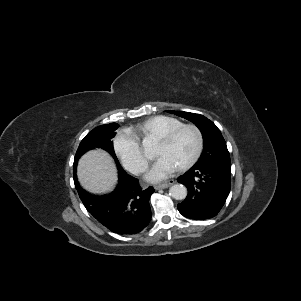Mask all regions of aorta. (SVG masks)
Masks as SVG:
<instances>
[{
    "instance_id": "1",
    "label": "aorta",
    "mask_w": 301,
    "mask_h": 301,
    "mask_svg": "<svg viewBox=\"0 0 301 301\" xmlns=\"http://www.w3.org/2000/svg\"><path fill=\"white\" fill-rule=\"evenodd\" d=\"M169 194L176 200H183L187 196V188L182 184H175L170 187Z\"/></svg>"
}]
</instances>
